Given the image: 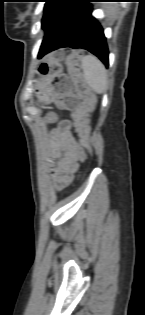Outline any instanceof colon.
<instances>
[{
	"label": "colon",
	"instance_id": "5ec220e1",
	"mask_svg": "<svg viewBox=\"0 0 145 315\" xmlns=\"http://www.w3.org/2000/svg\"><path fill=\"white\" fill-rule=\"evenodd\" d=\"M82 55L71 54L67 60L68 74L62 68V51L49 54L41 63L39 72L48 78L55 93L56 106L73 112L76 131L82 145L91 150L89 116L94 107V95L86 86L80 72ZM74 86V90L72 87Z\"/></svg>",
	"mask_w": 145,
	"mask_h": 315
}]
</instances>
